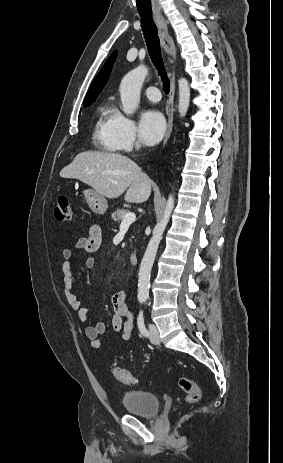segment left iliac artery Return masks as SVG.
I'll return each mask as SVG.
<instances>
[{
	"mask_svg": "<svg viewBox=\"0 0 283 463\" xmlns=\"http://www.w3.org/2000/svg\"><path fill=\"white\" fill-rule=\"evenodd\" d=\"M137 324H138V328H139V331L141 332V334L144 335V336H148V331H147V329L145 327L143 311L142 310L140 311V313L138 315Z\"/></svg>",
	"mask_w": 283,
	"mask_h": 463,
	"instance_id": "44dca946",
	"label": "left iliac artery"
}]
</instances>
